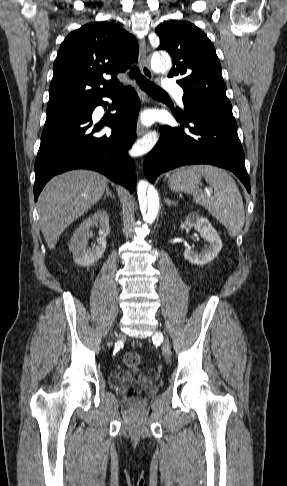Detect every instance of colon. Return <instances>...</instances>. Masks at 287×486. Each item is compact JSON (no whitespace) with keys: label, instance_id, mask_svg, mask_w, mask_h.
<instances>
[{"label":"colon","instance_id":"1","mask_svg":"<svg viewBox=\"0 0 287 486\" xmlns=\"http://www.w3.org/2000/svg\"><path fill=\"white\" fill-rule=\"evenodd\" d=\"M140 362H141V357L135 351H128L123 355V363L125 366L129 368H136L137 366H139ZM130 395L137 396L139 395V392L137 389L132 388L130 389Z\"/></svg>","mask_w":287,"mask_h":486}]
</instances>
